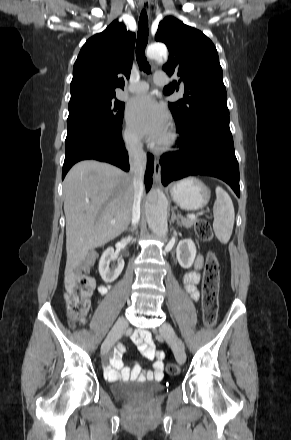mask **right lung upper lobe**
<instances>
[{"label": "right lung upper lobe", "instance_id": "1", "mask_svg": "<svg viewBox=\"0 0 291 440\" xmlns=\"http://www.w3.org/2000/svg\"><path fill=\"white\" fill-rule=\"evenodd\" d=\"M135 34L117 20L83 45L73 67L71 98L115 95L132 67Z\"/></svg>", "mask_w": 291, "mask_h": 440}]
</instances>
